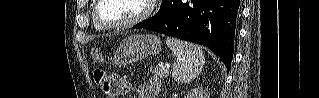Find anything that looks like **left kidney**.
I'll use <instances>...</instances> for the list:
<instances>
[{"label":"left kidney","mask_w":319,"mask_h":98,"mask_svg":"<svg viewBox=\"0 0 319 98\" xmlns=\"http://www.w3.org/2000/svg\"><path fill=\"white\" fill-rule=\"evenodd\" d=\"M206 90L203 87L195 88L187 94V98H206Z\"/></svg>","instance_id":"left-kidney-1"}]
</instances>
